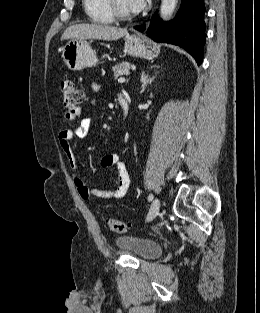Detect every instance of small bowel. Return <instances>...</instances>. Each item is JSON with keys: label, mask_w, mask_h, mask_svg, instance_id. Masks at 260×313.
<instances>
[{"label": "small bowel", "mask_w": 260, "mask_h": 313, "mask_svg": "<svg viewBox=\"0 0 260 313\" xmlns=\"http://www.w3.org/2000/svg\"><path fill=\"white\" fill-rule=\"evenodd\" d=\"M94 90H99V85H94ZM81 115V109L67 111L65 120L67 122L75 121ZM92 119L84 118L78 126L66 128L58 133V145L64 153L67 162L74 172V183L78 194L84 200H89L91 197L102 199H120L125 196L130 184L129 171L126 164L121 160L119 153H108L101 159V166L104 168H115L117 172L116 184L112 189L103 190L99 188L88 187L79 175V165L71 148V140L74 137H83L87 135L92 127Z\"/></svg>", "instance_id": "c3829d8e"}]
</instances>
